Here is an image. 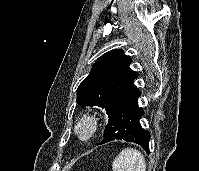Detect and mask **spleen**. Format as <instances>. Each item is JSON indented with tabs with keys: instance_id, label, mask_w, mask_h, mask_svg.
<instances>
[{
	"instance_id": "3e777b00",
	"label": "spleen",
	"mask_w": 199,
	"mask_h": 171,
	"mask_svg": "<svg viewBox=\"0 0 199 171\" xmlns=\"http://www.w3.org/2000/svg\"><path fill=\"white\" fill-rule=\"evenodd\" d=\"M113 171H146V162L142 153L127 147L113 160Z\"/></svg>"
}]
</instances>
